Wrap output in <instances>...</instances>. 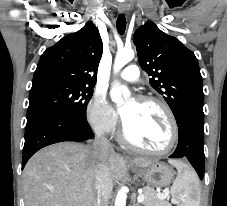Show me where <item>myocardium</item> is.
Instances as JSON below:
<instances>
[{
  "label": "myocardium",
  "instance_id": "myocardium-1",
  "mask_svg": "<svg viewBox=\"0 0 227 206\" xmlns=\"http://www.w3.org/2000/svg\"><path fill=\"white\" fill-rule=\"evenodd\" d=\"M137 102L142 103V104H154L159 106L160 108H162V110L165 112L169 123H170V127H171V138H170V142L169 144L160 150H151V149H146L140 145H138L137 143H135L130 136L127 133L125 124H123L122 127V138L125 141V143L130 146L131 148H133L136 151H139L141 153H145V154H150V155H165L169 152H171L175 146L178 143L179 140V126L176 120V117L172 111V109L170 108V106L162 99L157 98V97H153V96H139L137 98Z\"/></svg>",
  "mask_w": 227,
  "mask_h": 206
}]
</instances>
